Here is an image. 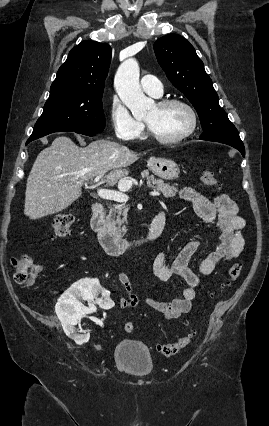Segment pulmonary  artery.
<instances>
[{
  "mask_svg": "<svg viewBox=\"0 0 269 426\" xmlns=\"http://www.w3.org/2000/svg\"><path fill=\"white\" fill-rule=\"evenodd\" d=\"M142 89L158 98L163 94V86L161 81L153 75H144L140 80Z\"/></svg>",
  "mask_w": 269,
  "mask_h": 426,
  "instance_id": "pulmonary-artery-1",
  "label": "pulmonary artery"
}]
</instances>
